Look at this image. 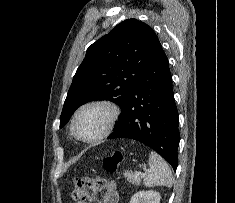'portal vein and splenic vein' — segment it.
I'll use <instances>...</instances> for the list:
<instances>
[{"mask_svg": "<svg viewBox=\"0 0 235 203\" xmlns=\"http://www.w3.org/2000/svg\"><path fill=\"white\" fill-rule=\"evenodd\" d=\"M145 171H146V169H145ZM144 174H145V173H142V172H136V173H135V176H136V177H140V176H144Z\"/></svg>", "mask_w": 235, "mask_h": 203, "instance_id": "18ae733b", "label": "portal vein and splenic vein"}]
</instances>
